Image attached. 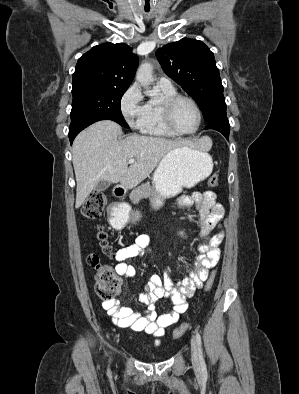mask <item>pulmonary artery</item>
<instances>
[{"instance_id":"obj_1","label":"pulmonary artery","mask_w":299,"mask_h":394,"mask_svg":"<svg viewBox=\"0 0 299 394\" xmlns=\"http://www.w3.org/2000/svg\"><path fill=\"white\" fill-rule=\"evenodd\" d=\"M158 83L163 85V86H172V82L171 80L166 77V76H162L159 78Z\"/></svg>"}]
</instances>
